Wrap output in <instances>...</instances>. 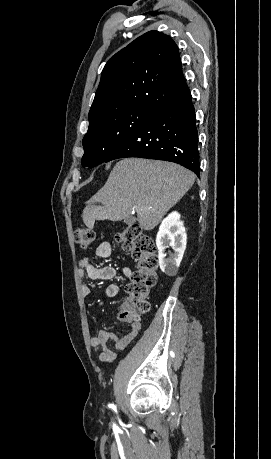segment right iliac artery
Masks as SVG:
<instances>
[{"label": "right iliac artery", "instance_id": "82829eb1", "mask_svg": "<svg viewBox=\"0 0 271 459\" xmlns=\"http://www.w3.org/2000/svg\"><path fill=\"white\" fill-rule=\"evenodd\" d=\"M109 407L113 408V405H109Z\"/></svg>", "mask_w": 271, "mask_h": 459}]
</instances>
